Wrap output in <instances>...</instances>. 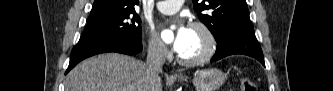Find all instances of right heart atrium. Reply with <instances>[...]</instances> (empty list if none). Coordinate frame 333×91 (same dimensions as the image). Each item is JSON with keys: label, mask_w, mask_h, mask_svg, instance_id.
<instances>
[{"label": "right heart atrium", "mask_w": 333, "mask_h": 91, "mask_svg": "<svg viewBox=\"0 0 333 91\" xmlns=\"http://www.w3.org/2000/svg\"><path fill=\"white\" fill-rule=\"evenodd\" d=\"M146 48L149 57L157 61H164L169 55L166 46L153 34H148Z\"/></svg>", "instance_id": "d8ad5b80"}]
</instances>
